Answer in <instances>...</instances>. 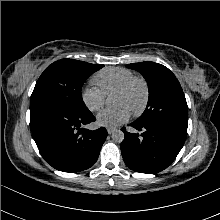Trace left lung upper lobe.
<instances>
[{"label": "left lung upper lobe", "mask_w": 220, "mask_h": 220, "mask_svg": "<svg viewBox=\"0 0 220 220\" xmlns=\"http://www.w3.org/2000/svg\"><path fill=\"white\" fill-rule=\"evenodd\" d=\"M126 67L140 72L149 88L147 107L135 122L165 123L187 133L188 106L181 85L172 71L150 61L132 63Z\"/></svg>", "instance_id": "5c2ea615"}]
</instances>
